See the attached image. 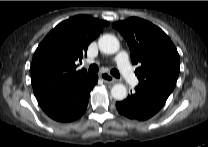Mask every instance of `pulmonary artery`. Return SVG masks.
<instances>
[{
	"label": "pulmonary artery",
	"mask_w": 208,
	"mask_h": 147,
	"mask_svg": "<svg viewBox=\"0 0 208 147\" xmlns=\"http://www.w3.org/2000/svg\"><path fill=\"white\" fill-rule=\"evenodd\" d=\"M115 61L125 80L131 85L137 84L138 79L130 66L127 53L125 51L119 52L115 57Z\"/></svg>",
	"instance_id": "e3ab8cb5"
}]
</instances>
